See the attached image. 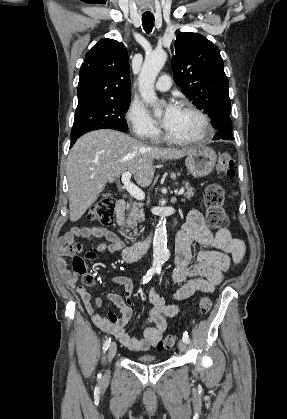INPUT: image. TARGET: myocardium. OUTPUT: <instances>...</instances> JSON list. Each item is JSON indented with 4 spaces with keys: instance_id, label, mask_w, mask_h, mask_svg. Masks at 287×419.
Wrapping results in <instances>:
<instances>
[{
    "instance_id": "f54148a6",
    "label": "myocardium",
    "mask_w": 287,
    "mask_h": 419,
    "mask_svg": "<svg viewBox=\"0 0 287 419\" xmlns=\"http://www.w3.org/2000/svg\"><path fill=\"white\" fill-rule=\"evenodd\" d=\"M181 107L192 112L194 115H196L199 118V120L202 123L203 132L199 136H196L194 138L182 139V138H177L170 135L165 130L164 131L165 140L170 143L178 144V145H193V144L204 142L208 140L209 138H211L213 135V127L207 115L203 111H201L198 107H196L195 105L189 102H184L181 105Z\"/></svg>"
}]
</instances>
